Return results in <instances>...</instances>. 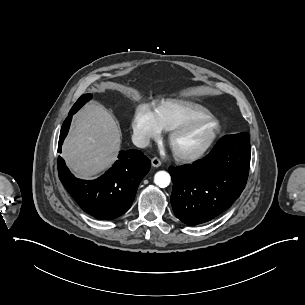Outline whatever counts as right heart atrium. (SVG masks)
I'll return each mask as SVG.
<instances>
[{
  "label": "right heart atrium",
  "mask_w": 305,
  "mask_h": 305,
  "mask_svg": "<svg viewBox=\"0 0 305 305\" xmlns=\"http://www.w3.org/2000/svg\"><path fill=\"white\" fill-rule=\"evenodd\" d=\"M132 129L137 142L142 146L148 145L151 140L159 138L161 134L155 112L146 105L136 110Z\"/></svg>",
  "instance_id": "obj_1"
}]
</instances>
